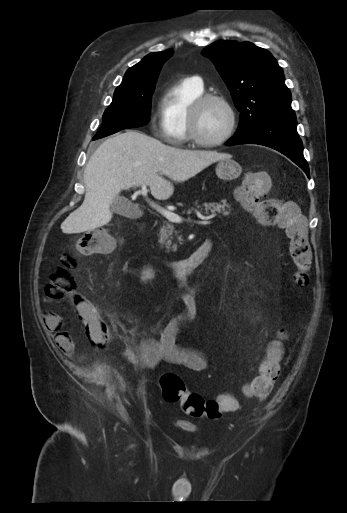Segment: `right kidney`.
<instances>
[{
  "label": "right kidney",
  "mask_w": 347,
  "mask_h": 513,
  "mask_svg": "<svg viewBox=\"0 0 347 513\" xmlns=\"http://www.w3.org/2000/svg\"><path fill=\"white\" fill-rule=\"evenodd\" d=\"M144 275L146 278H149L152 276V271L151 270H147L146 272H144Z\"/></svg>",
  "instance_id": "right-kidney-1"
}]
</instances>
